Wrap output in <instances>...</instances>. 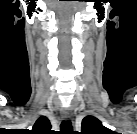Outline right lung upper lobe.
I'll list each match as a JSON object with an SVG mask.
<instances>
[{
  "label": "right lung upper lobe",
  "mask_w": 137,
  "mask_h": 134,
  "mask_svg": "<svg viewBox=\"0 0 137 134\" xmlns=\"http://www.w3.org/2000/svg\"><path fill=\"white\" fill-rule=\"evenodd\" d=\"M51 124L46 116H41L37 119L30 134H50Z\"/></svg>",
  "instance_id": "right-lung-upper-lobe-1"
}]
</instances>
